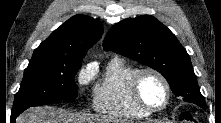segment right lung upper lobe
I'll return each mask as SVG.
<instances>
[{"label": "right lung upper lobe", "instance_id": "obj_1", "mask_svg": "<svg viewBox=\"0 0 221 123\" xmlns=\"http://www.w3.org/2000/svg\"><path fill=\"white\" fill-rule=\"evenodd\" d=\"M102 33L103 27L99 21L85 15H75L53 31L34 50L32 58L82 61Z\"/></svg>", "mask_w": 221, "mask_h": 123}]
</instances>
